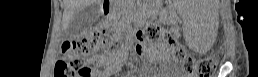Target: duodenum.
Wrapping results in <instances>:
<instances>
[{
	"label": "duodenum",
	"mask_w": 258,
	"mask_h": 77,
	"mask_svg": "<svg viewBox=\"0 0 258 77\" xmlns=\"http://www.w3.org/2000/svg\"><path fill=\"white\" fill-rule=\"evenodd\" d=\"M107 3H111L110 1H106ZM103 14H104V16H109V14H110V7H109V5L107 4V6H104L103 7Z\"/></svg>",
	"instance_id": "1"
}]
</instances>
